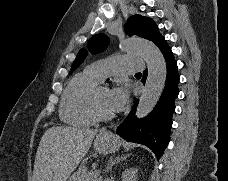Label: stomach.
<instances>
[{
    "instance_id": "stomach-1",
    "label": "stomach",
    "mask_w": 228,
    "mask_h": 181,
    "mask_svg": "<svg viewBox=\"0 0 228 181\" xmlns=\"http://www.w3.org/2000/svg\"><path fill=\"white\" fill-rule=\"evenodd\" d=\"M119 147L120 143L116 135H112V133H106V131H100V133L96 135V139L94 141V149L96 153L107 155V153H113V151H117Z\"/></svg>"
}]
</instances>
